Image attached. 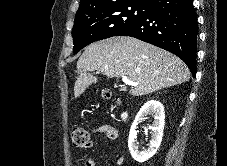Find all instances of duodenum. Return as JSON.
Here are the masks:
<instances>
[{"label":"duodenum","instance_id":"obj_1","mask_svg":"<svg viewBox=\"0 0 227 166\" xmlns=\"http://www.w3.org/2000/svg\"><path fill=\"white\" fill-rule=\"evenodd\" d=\"M121 119H122V121H127V119H128V111L127 110L122 111Z\"/></svg>","mask_w":227,"mask_h":166}]
</instances>
